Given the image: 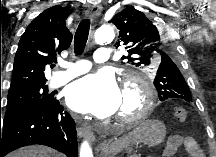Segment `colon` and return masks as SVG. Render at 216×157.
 I'll return each instance as SVG.
<instances>
[{"label": "colon", "instance_id": "1", "mask_svg": "<svg viewBox=\"0 0 216 157\" xmlns=\"http://www.w3.org/2000/svg\"><path fill=\"white\" fill-rule=\"evenodd\" d=\"M175 118L179 122H184L187 119V111L183 107H178L175 109Z\"/></svg>", "mask_w": 216, "mask_h": 157}]
</instances>
